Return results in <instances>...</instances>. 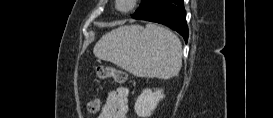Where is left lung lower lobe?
I'll return each instance as SVG.
<instances>
[{
	"label": "left lung lower lobe",
	"mask_w": 273,
	"mask_h": 118,
	"mask_svg": "<svg viewBox=\"0 0 273 118\" xmlns=\"http://www.w3.org/2000/svg\"><path fill=\"white\" fill-rule=\"evenodd\" d=\"M141 20L166 25L182 35L187 42L188 27L183 0H165L158 9Z\"/></svg>",
	"instance_id": "0a47b994"
}]
</instances>
